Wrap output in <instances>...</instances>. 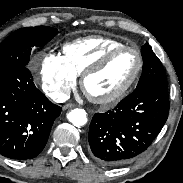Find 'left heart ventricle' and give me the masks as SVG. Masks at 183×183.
<instances>
[{
	"label": "left heart ventricle",
	"instance_id": "left-heart-ventricle-1",
	"mask_svg": "<svg viewBox=\"0 0 183 183\" xmlns=\"http://www.w3.org/2000/svg\"><path fill=\"white\" fill-rule=\"evenodd\" d=\"M137 66L138 58L134 52H120L102 71L87 79L85 89L96 97L110 96L129 82Z\"/></svg>",
	"mask_w": 183,
	"mask_h": 183
}]
</instances>
